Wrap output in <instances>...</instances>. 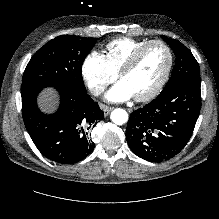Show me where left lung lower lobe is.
<instances>
[{
  "label": "left lung lower lobe",
  "mask_w": 219,
  "mask_h": 219,
  "mask_svg": "<svg viewBox=\"0 0 219 219\" xmlns=\"http://www.w3.org/2000/svg\"><path fill=\"white\" fill-rule=\"evenodd\" d=\"M201 106L200 81L185 80L134 111L126 139L137 156L161 162L178 154L194 130Z\"/></svg>",
  "instance_id": "obj_1"
}]
</instances>
